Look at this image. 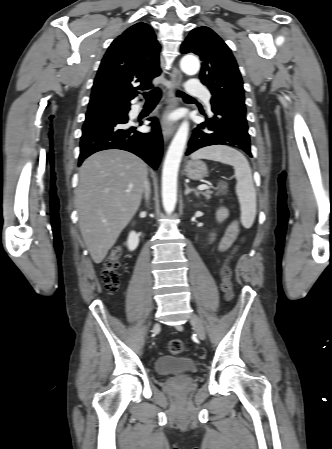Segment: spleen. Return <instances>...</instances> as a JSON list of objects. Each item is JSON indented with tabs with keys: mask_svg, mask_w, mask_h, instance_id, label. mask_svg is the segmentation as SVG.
Instances as JSON below:
<instances>
[{
	"mask_svg": "<svg viewBox=\"0 0 332 449\" xmlns=\"http://www.w3.org/2000/svg\"><path fill=\"white\" fill-rule=\"evenodd\" d=\"M191 158L218 161L234 167L241 222L245 228H250L256 217V191L251 168L244 155L228 146H211L194 152Z\"/></svg>",
	"mask_w": 332,
	"mask_h": 449,
	"instance_id": "3e777b00",
	"label": "spleen"
}]
</instances>
